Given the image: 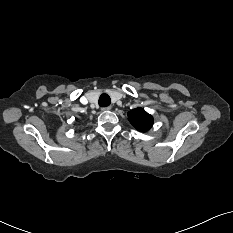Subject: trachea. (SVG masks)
<instances>
[{
  "instance_id": "3493384b",
  "label": "trachea",
  "mask_w": 233,
  "mask_h": 233,
  "mask_svg": "<svg viewBox=\"0 0 233 233\" xmlns=\"http://www.w3.org/2000/svg\"><path fill=\"white\" fill-rule=\"evenodd\" d=\"M111 103V99L109 97V95L107 94H102L100 97H99V105L101 107H107L109 106Z\"/></svg>"
}]
</instances>
